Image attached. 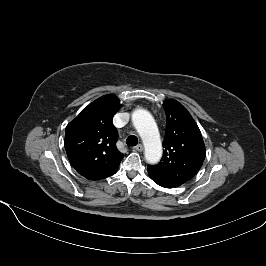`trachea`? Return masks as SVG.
<instances>
[{"label":"trachea","mask_w":266,"mask_h":266,"mask_svg":"<svg viewBox=\"0 0 266 266\" xmlns=\"http://www.w3.org/2000/svg\"><path fill=\"white\" fill-rule=\"evenodd\" d=\"M126 144L130 147L136 146L138 144V138L134 135H130L127 139H126Z\"/></svg>","instance_id":"obj_1"}]
</instances>
